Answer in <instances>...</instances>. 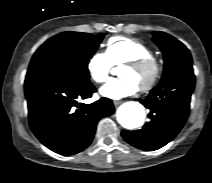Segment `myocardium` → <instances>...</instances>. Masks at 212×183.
<instances>
[{
  "label": "myocardium",
  "mask_w": 212,
  "mask_h": 183,
  "mask_svg": "<svg viewBox=\"0 0 212 183\" xmlns=\"http://www.w3.org/2000/svg\"><path fill=\"white\" fill-rule=\"evenodd\" d=\"M124 67H129L134 70H143L150 73L149 79L141 86L140 91H148L154 87L161 75V66L155 57H142L131 60L125 64Z\"/></svg>",
  "instance_id": "myocardium-1"
}]
</instances>
